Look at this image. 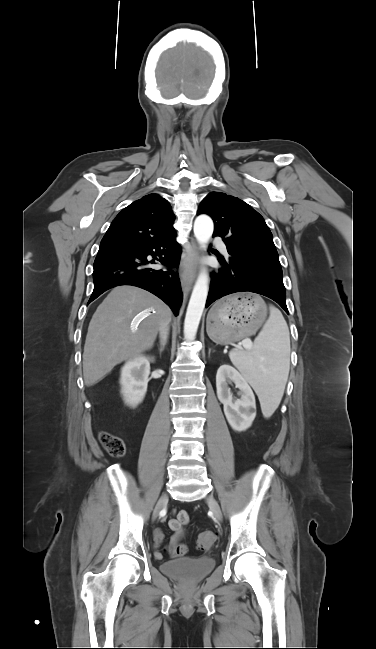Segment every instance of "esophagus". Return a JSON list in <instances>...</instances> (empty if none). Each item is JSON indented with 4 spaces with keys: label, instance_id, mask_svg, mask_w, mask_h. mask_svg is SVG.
I'll list each match as a JSON object with an SVG mask.
<instances>
[{
    "label": "esophagus",
    "instance_id": "1",
    "mask_svg": "<svg viewBox=\"0 0 376 649\" xmlns=\"http://www.w3.org/2000/svg\"><path fill=\"white\" fill-rule=\"evenodd\" d=\"M198 258V246L192 241V249L182 262L181 283L184 291L189 290L195 280Z\"/></svg>",
    "mask_w": 376,
    "mask_h": 649
}]
</instances>
